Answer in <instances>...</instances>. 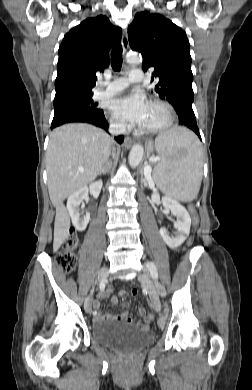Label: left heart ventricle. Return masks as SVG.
<instances>
[{
	"label": "left heart ventricle",
	"mask_w": 252,
	"mask_h": 390,
	"mask_svg": "<svg viewBox=\"0 0 252 390\" xmlns=\"http://www.w3.org/2000/svg\"><path fill=\"white\" fill-rule=\"evenodd\" d=\"M167 119V113L159 105L149 104L147 115L142 126L144 128H153L162 125Z\"/></svg>",
	"instance_id": "obj_1"
}]
</instances>
